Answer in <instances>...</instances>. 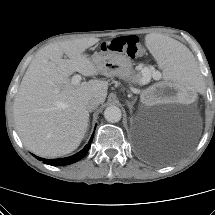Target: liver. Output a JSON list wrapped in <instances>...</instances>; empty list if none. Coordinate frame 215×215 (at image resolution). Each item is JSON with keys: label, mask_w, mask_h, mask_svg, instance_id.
I'll return each instance as SVG.
<instances>
[{"label": "liver", "mask_w": 215, "mask_h": 215, "mask_svg": "<svg viewBox=\"0 0 215 215\" xmlns=\"http://www.w3.org/2000/svg\"><path fill=\"white\" fill-rule=\"evenodd\" d=\"M98 38L54 42L40 49L30 63L15 96L13 114L24 146L46 158L63 156L78 148L87 131L86 103L107 97L108 83L99 79L73 84L74 72L96 76L99 71L84 52ZM68 59H63V55Z\"/></svg>", "instance_id": "liver-1"}]
</instances>
